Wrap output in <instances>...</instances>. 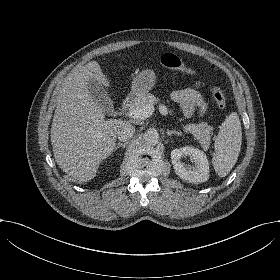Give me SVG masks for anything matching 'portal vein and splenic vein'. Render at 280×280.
I'll use <instances>...</instances> for the list:
<instances>
[{"instance_id": "18ae733b", "label": "portal vein and splenic vein", "mask_w": 280, "mask_h": 280, "mask_svg": "<svg viewBox=\"0 0 280 280\" xmlns=\"http://www.w3.org/2000/svg\"><path fill=\"white\" fill-rule=\"evenodd\" d=\"M158 110L162 115H166L167 112V107L163 105L162 103L158 104ZM155 111L154 105L153 104H147L145 107L131 110L130 115L136 119H146L150 115H152Z\"/></svg>"}]
</instances>
